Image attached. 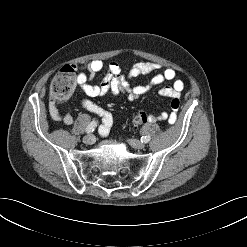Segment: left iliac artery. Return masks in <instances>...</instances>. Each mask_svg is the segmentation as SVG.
<instances>
[{
	"label": "left iliac artery",
	"mask_w": 247,
	"mask_h": 247,
	"mask_svg": "<svg viewBox=\"0 0 247 247\" xmlns=\"http://www.w3.org/2000/svg\"><path fill=\"white\" fill-rule=\"evenodd\" d=\"M150 136L148 135V136H143V137H141V142L142 143H148L149 141H150Z\"/></svg>",
	"instance_id": "obj_1"
}]
</instances>
